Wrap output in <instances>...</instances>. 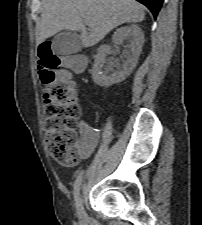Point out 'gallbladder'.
Masks as SVG:
<instances>
[{
	"label": "gallbladder",
	"mask_w": 202,
	"mask_h": 225,
	"mask_svg": "<svg viewBox=\"0 0 202 225\" xmlns=\"http://www.w3.org/2000/svg\"><path fill=\"white\" fill-rule=\"evenodd\" d=\"M51 48L59 56L75 54L82 48L81 37L76 32H60L53 38Z\"/></svg>",
	"instance_id": "obj_1"
}]
</instances>
